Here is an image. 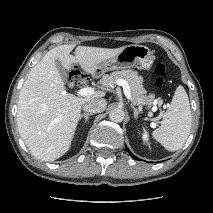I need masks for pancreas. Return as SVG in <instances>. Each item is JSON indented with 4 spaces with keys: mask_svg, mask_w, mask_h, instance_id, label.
Returning a JSON list of instances; mask_svg holds the SVG:
<instances>
[{
    "mask_svg": "<svg viewBox=\"0 0 213 213\" xmlns=\"http://www.w3.org/2000/svg\"><path fill=\"white\" fill-rule=\"evenodd\" d=\"M118 79H124L128 82L131 89V96L135 103L138 105H148L152 106L155 100L154 94L146 95V90L144 89L142 82L143 78L138 75L136 71L122 70L115 71L111 74H105L100 83L107 88L113 87Z\"/></svg>",
    "mask_w": 213,
    "mask_h": 213,
    "instance_id": "cf45deb5",
    "label": "pancreas"
}]
</instances>
